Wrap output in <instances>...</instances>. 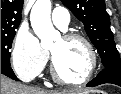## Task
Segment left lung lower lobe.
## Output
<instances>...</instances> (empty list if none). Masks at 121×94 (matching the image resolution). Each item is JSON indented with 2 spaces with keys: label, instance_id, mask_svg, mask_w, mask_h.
<instances>
[{
  "label": "left lung lower lobe",
  "instance_id": "1",
  "mask_svg": "<svg viewBox=\"0 0 121 94\" xmlns=\"http://www.w3.org/2000/svg\"><path fill=\"white\" fill-rule=\"evenodd\" d=\"M104 83H111L121 86V68H105L93 80H91L87 86L95 87Z\"/></svg>",
  "mask_w": 121,
  "mask_h": 94
}]
</instances>
